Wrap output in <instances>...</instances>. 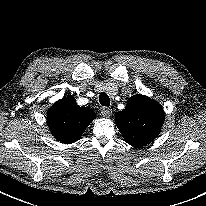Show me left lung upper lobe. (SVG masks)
I'll use <instances>...</instances> for the list:
<instances>
[{
  "mask_svg": "<svg viewBox=\"0 0 206 206\" xmlns=\"http://www.w3.org/2000/svg\"><path fill=\"white\" fill-rule=\"evenodd\" d=\"M165 115L159 103L140 94L129 98L124 110L117 113L115 123L124 140L139 148L160 133Z\"/></svg>",
  "mask_w": 206,
  "mask_h": 206,
  "instance_id": "1",
  "label": "left lung upper lobe"
}]
</instances>
